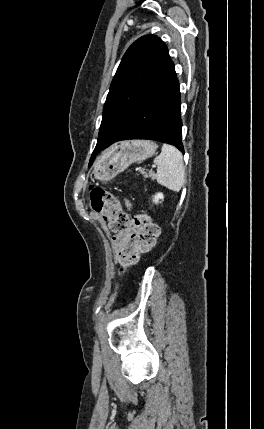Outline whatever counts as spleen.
I'll return each instance as SVG.
<instances>
[{
	"label": "spleen",
	"mask_w": 264,
	"mask_h": 429,
	"mask_svg": "<svg viewBox=\"0 0 264 429\" xmlns=\"http://www.w3.org/2000/svg\"><path fill=\"white\" fill-rule=\"evenodd\" d=\"M157 165V182L179 192L185 181V169L181 152L172 145L163 144L161 153L154 159Z\"/></svg>",
	"instance_id": "obj_1"
}]
</instances>
